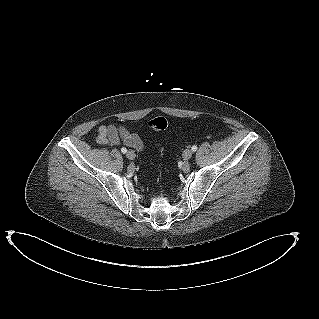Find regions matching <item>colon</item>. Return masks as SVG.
Wrapping results in <instances>:
<instances>
[{
	"label": "colon",
	"mask_w": 319,
	"mask_h": 319,
	"mask_svg": "<svg viewBox=\"0 0 319 319\" xmlns=\"http://www.w3.org/2000/svg\"><path fill=\"white\" fill-rule=\"evenodd\" d=\"M167 120L164 117H155L148 122L150 129L154 131H162L167 127Z\"/></svg>",
	"instance_id": "1"
}]
</instances>
